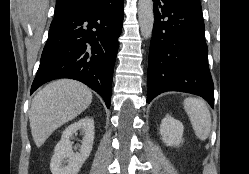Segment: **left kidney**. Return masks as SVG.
Here are the masks:
<instances>
[{"instance_id": "5707ae66", "label": "left kidney", "mask_w": 249, "mask_h": 174, "mask_svg": "<svg viewBox=\"0 0 249 174\" xmlns=\"http://www.w3.org/2000/svg\"><path fill=\"white\" fill-rule=\"evenodd\" d=\"M183 124L170 115H166L161 121L160 134L162 141L167 146H178L183 142Z\"/></svg>"}]
</instances>
